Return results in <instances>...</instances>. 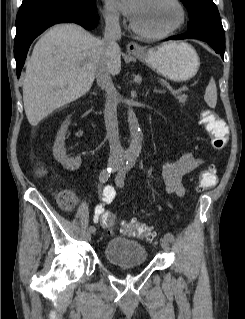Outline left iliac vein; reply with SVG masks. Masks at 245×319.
Instances as JSON below:
<instances>
[{
  "label": "left iliac vein",
  "instance_id": "4c4485c4",
  "mask_svg": "<svg viewBox=\"0 0 245 319\" xmlns=\"http://www.w3.org/2000/svg\"><path fill=\"white\" fill-rule=\"evenodd\" d=\"M121 170L122 169H121L120 165L118 167H116V169H115V171H118V174H117L116 179H115L116 180V184L118 186H120V187H121V184H120V180H119V173H120ZM160 244H161V247H162V249L164 251H166L168 253L171 251V247H170V244H169V241H168L167 238H165V237L161 238Z\"/></svg>",
  "mask_w": 245,
  "mask_h": 319
}]
</instances>
